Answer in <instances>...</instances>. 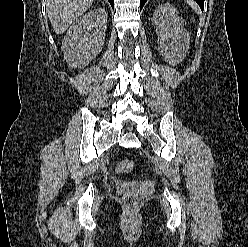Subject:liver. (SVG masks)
<instances>
[{
	"mask_svg": "<svg viewBox=\"0 0 248 247\" xmlns=\"http://www.w3.org/2000/svg\"><path fill=\"white\" fill-rule=\"evenodd\" d=\"M92 3L93 0H46L48 17L56 34L64 33Z\"/></svg>",
	"mask_w": 248,
	"mask_h": 247,
	"instance_id": "liver-1",
	"label": "liver"
}]
</instances>
